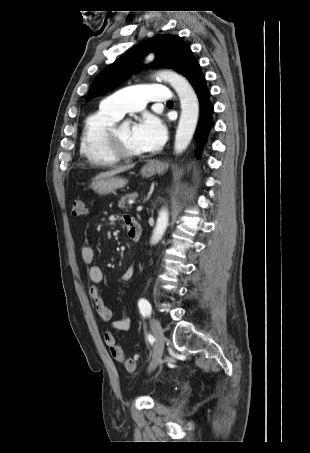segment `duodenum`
<instances>
[{"mask_svg":"<svg viewBox=\"0 0 310 453\" xmlns=\"http://www.w3.org/2000/svg\"><path fill=\"white\" fill-rule=\"evenodd\" d=\"M127 233L131 241H138L141 235L140 223L136 220L127 226Z\"/></svg>","mask_w":310,"mask_h":453,"instance_id":"obj_1","label":"duodenum"}]
</instances>
